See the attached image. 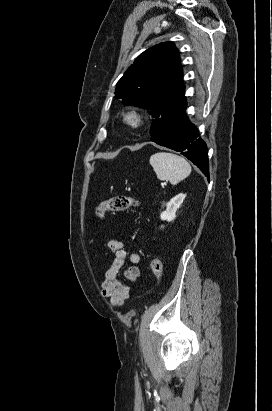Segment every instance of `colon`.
Returning a JSON list of instances; mask_svg holds the SVG:
<instances>
[{
    "mask_svg": "<svg viewBox=\"0 0 272 411\" xmlns=\"http://www.w3.org/2000/svg\"><path fill=\"white\" fill-rule=\"evenodd\" d=\"M138 205V200L133 197L117 195L108 198L101 202L94 208V217L102 219L108 212L126 211ZM152 272L158 283L161 282L163 275V265L159 258H152L151 262Z\"/></svg>",
    "mask_w": 272,
    "mask_h": 411,
    "instance_id": "obj_1",
    "label": "colon"
}]
</instances>
